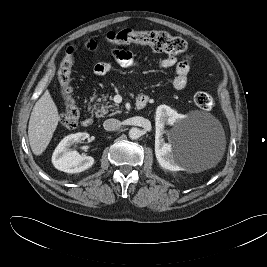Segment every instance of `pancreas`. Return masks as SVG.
Masks as SVG:
<instances>
[{"label": "pancreas", "mask_w": 267, "mask_h": 267, "mask_svg": "<svg viewBox=\"0 0 267 267\" xmlns=\"http://www.w3.org/2000/svg\"><path fill=\"white\" fill-rule=\"evenodd\" d=\"M107 99L108 95H102V98L97 99L98 103L91 107L92 113H95L96 117H104L105 115L112 116L120 112L118 110V105H108Z\"/></svg>", "instance_id": "1"}]
</instances>
